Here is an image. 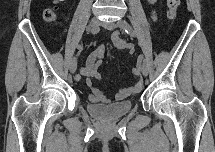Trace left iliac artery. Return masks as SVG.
<instances>
[{
	"label": "left iliac artery",
	"mask_w": 215,
	"mask_h": 152,
	"mask_svg": "<svg viewBox=\"0 0 215 152\" xmlns=\"http://www.w3.org/2000/svg\"><path fill=\"white\" fill-rule=\"evenodd\" d=\"M118 25L128 35H130L132 37L137 36L136 32L133 30V28L130 26V24L127 23L126 21L120 20L118 22ZM137 60H138V62L136 63V68L138 69L139 72H142L143 71V65H141V64L143 63V54H138Z\"/></svg>",
	"instance_id": "left-iliac-artery-1"
}]
</instances>
